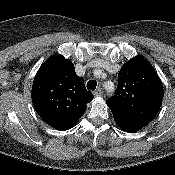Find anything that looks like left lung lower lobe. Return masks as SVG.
<instances>
[{"mask_svg":"<svg viewBox=\"0 0 175 175\" xmlns=\"http://www.w3.org/2000/svg\"><path fill=\"white\" fill-rule=\"evenodd\" d=\"M115 122L122 130H124L126 132H130V133L137 132L144 127V125H140V124H136V123H132V122H126V121H122V120H115Z\"/></svg>","mask_w":175,"mask_h":175,"instance_id":"0a47b994","label":"left lung lower lobe"}]
</instances>
